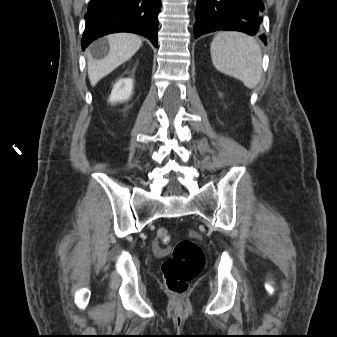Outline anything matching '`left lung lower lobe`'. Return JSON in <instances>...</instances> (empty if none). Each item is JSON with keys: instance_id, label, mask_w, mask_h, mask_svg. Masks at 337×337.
<instances>
[{"instance_id": "0a47b994", "label": "left lung lower lobe", "mask_w": 337, "mask_h": 337, "mask_svg": "<svg viewBox=\"0 0 337 337\" xmlns=\"http://www.w3.org/2000/svg\"><path fill=\"white\" fill-rule=\"evenodd\" d=\"M263 10L262 0H198L194 36L217 30L255 35L261 27ZM259 37L266 44V36Z\"/></svg>"}]
</instances>
